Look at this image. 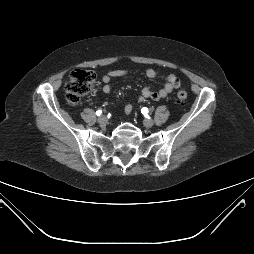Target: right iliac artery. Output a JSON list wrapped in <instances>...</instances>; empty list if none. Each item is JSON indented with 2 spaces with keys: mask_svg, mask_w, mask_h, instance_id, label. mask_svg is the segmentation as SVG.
<instances>
[{
  "mask_svg": "<svg viewBox=\"0 0 254 254\" xmlns=\"http://www.w3.org/2000/svg\"><path fill=\"white\" fill-rule=\"evenodd\" d=\"M101 114H102V110L96 111V115H97V116H100Z\"/></svg>",
  "mask_w": 254,
  "mask_h": 254,
  "instance_id": "1",
  "label": "right iliac artery"
}]
</instances>
